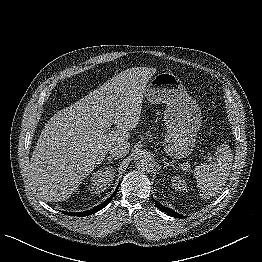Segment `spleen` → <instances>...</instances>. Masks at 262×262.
Returning a JSON list of instances; mask_svg holds the SVG:
<instances>
[{"label":"spleen","mask_w":262,"mask_h":262,"mask_svg":"<svg viewBox=\"0 0 262 262\" xmlns=\"http://www.w3.org/2000/svg\"><path fill=\"white\" fill-rule=\"evenodd\" d=\"M233 155L228 145L216 149L215 158L196 166L194 177L202 197L214 196L225 185L230 174Z\"/></svg>","instance_id":"spleen-1"}]
</instances>
